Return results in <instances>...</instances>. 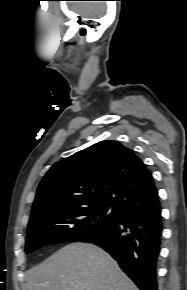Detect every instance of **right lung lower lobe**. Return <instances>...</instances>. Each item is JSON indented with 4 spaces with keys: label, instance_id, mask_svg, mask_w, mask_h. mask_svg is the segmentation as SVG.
<instances>
[{
    "label": "right lung lower lobe",
    "instance_id": "1",
    "mask_svg": "<svg viewBox=\"0 0 187 290\" xmlns=\"http://www.w3.org/2000/svg\"><path fill=\"white\" fill-rule=\"evenodd\" d=\"M161 207L129 211L117 223L84 239L99 245L141 290H157L162 240Z\"/></svg>",
    "mask_w": 187,
    "mask_h": 290
}]
</instances>
